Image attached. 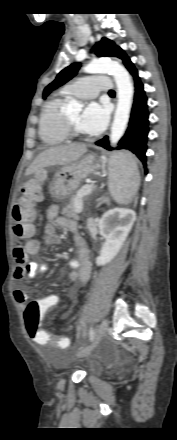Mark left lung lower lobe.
<instances>
[{
    "label": "left lung lower lobe",
    "instance_id": "0a47b994",
    "mask_svg": "<svg viewBox=\"0 0 177 440\" xmlns=\"http://www.w3.org/2000/svg\"><path fill=\"white\" fill-rule=\"evenodd\" d=\"M133 78L135 93L134 103L132 106L129 126L125 135L118 142L116 149H127L133 152L137 158L140 159L144 167H146V150H147V135L149 132L148 121V106L147 97L143 89V84L138 76V71L135 67L129 69ZM97 145L106 149H112L109 146L108 136L96 142ZM147 172V170H146Z\"/></svg>",
    "mask_w": 177,
    "mask_h": 440
}]
</instances>
